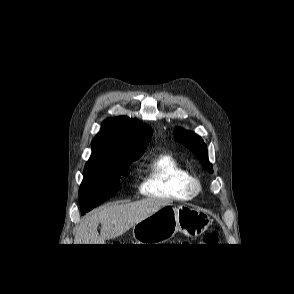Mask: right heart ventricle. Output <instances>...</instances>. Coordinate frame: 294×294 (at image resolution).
<instances>
[{"instance_id": "obj_1", "label": "right heart ventricle", "mask_w": 294, "mask_h": 294, "mask_svg": "<svg viewBox=\"0 0 294 294\" xmlns=\"http://www.w3.org/2000/svg\"><path fill=\"white\" fill-rule=\"evenodd\" d=\"M190 173L171 154L155 156L141 174L138 187L144 196L157 198H183L190 196L186 184Z\"/></svg>"}]
</instances>
